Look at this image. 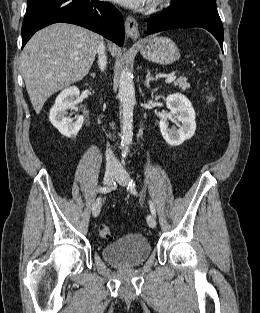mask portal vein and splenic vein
I'll return each mask as SVG.
<instances>
[{"mask_svg":"<svg viewBox=\"0 0 260 313\" xmlns=\"http://www.w3.org/2000/svg\"><path fill=\"white\" fill-rule=\"evenodd\" d=\"M176 79V76L174 74L170 75L166 80L165 82L166 83H171L173 82L174 80Z\"/></svg>","mask_w":260,"mask_h":313,"instance_id":"portal-vein-and-splenic-vein-1","label":"portal vein and splenic vein"}]
</instances>
